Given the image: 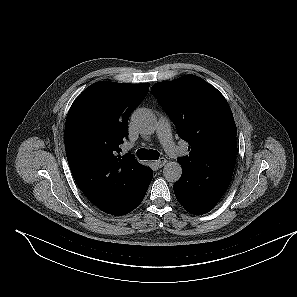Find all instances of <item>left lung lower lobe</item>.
<instances>
[{"instance_id":"0a47b994","label":"left lung lower lobe","mask_w":297,"mask_h":297,"mask_svg":"<svg viewBox=\"0 0 297 297\" xmlns=\"http://www.w3.org/2000/svg\"><path fill=\"white\" fill-rule=\"evenodd\" d=\"M187 175H182L181 178L174 184L173 189L179 203L188 212L196 215H202L211 211L218 201L222 198L224 193H220L213 197H200L192 201H188L187 197Z\"/></svg>"}]
</instances>
